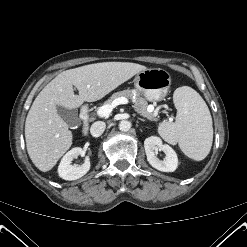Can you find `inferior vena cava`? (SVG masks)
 <instances>
[{
    "label": "inferior vena cava",
    "mask_w": 247,
    "mask_h": 247,
    "mask_svg": "<svg viewBox=\"0 0 247 247\" xmlns=\"http://www.w3.org/2000/svg\"><path fill=\"white\" fill-rule=\"evenodd\" d=\"M105 128V122L97 121L91 125L90 133L93 137H99L104 132Z\"/></svg>",
    "instance_id": "obj_1"
}]
</instances>
